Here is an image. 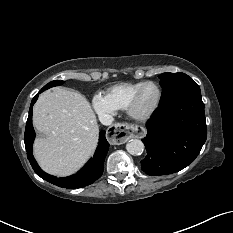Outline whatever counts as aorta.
I'll return each instance as SVG.
<instances>
[{
	"label": "aorta",
	"mask_w": 233,
	"mask_h": 233,
	"mask_svg": "<svg viewBox=\"0 0 233 233\" xmlns=\"http://www.w3.org/2000/svg\"><path fill=\"white\" fill-rule=\"evenodd\" d=\"M126 150L128 153L131 155H139L143 152L144 150V144L141 140L138 139H131L127 144H126Z\"/></svg>",
	"instance_id": "1"
}]
</instances>
